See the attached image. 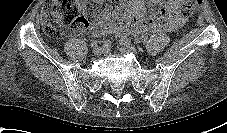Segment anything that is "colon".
<instances>
[{
  "label": "colon",
  "mask_w": 227,
  "mask_h": 133,
  "mask_svg": "<svg viewBox=\"0 0 227 133\" xmlns=\"http://www.w3.org/2000/svg\"><path fill=\"white\" fill-rule=\"evenodd\" d=\"M183 16L192 15L201 0H179ZM115 8L106 0H49L41 14L44 33L50 39H61L68 28L78 31L91 25L105 24ZM153 20H162L153 15Z\"/></svg>",
  "instance_id": "obj_1"
}]
</instances>
